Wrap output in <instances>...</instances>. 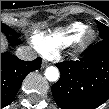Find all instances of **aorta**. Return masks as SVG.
<instances>
[{"label": "aorta", "mask_w": 109, "mask_h": 109, "mask_svg": "<svg viewBox=\"0 0 109 109\" xmlns=\"http://www.w3.org/2000/svg\"><path fill=\"white\" fill-rule=\"evenodd\" d=\"M45 77L49 81L55 82L59 79V70L54 66H50L45 70Z\"/></svg>", "instance_id": "762f6f07"}]
</instances>
